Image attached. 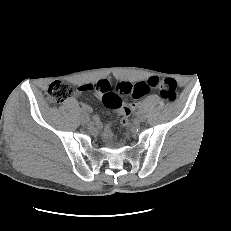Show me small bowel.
I'll return each instance as SVG.
<instances>
[{"mask_svg": "<svg viewBox=\"0 0 231 231\" xmlns=\"http://www.w3.org/2000/svg\"><path fill=\"white\" fill-rule=\"evenodd\" d=\"M95 84H83V85H80L78 87V91H77V94L76 95H79L80 93L82 92H86V91H92L91 89L94 87ZM126 107H128L130 110L135 108V105L132 104V105H125ZM86 108H88L87 106H84ZM110 124L106 127L105 129V136L106 137H110L111 136V131H110Z\"/></svg>", "mask_w": 231, "mask_h": 231, "instance_id": "c3829d8e", "label": "small bowel"}]
</instances>
